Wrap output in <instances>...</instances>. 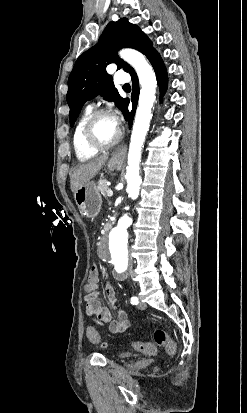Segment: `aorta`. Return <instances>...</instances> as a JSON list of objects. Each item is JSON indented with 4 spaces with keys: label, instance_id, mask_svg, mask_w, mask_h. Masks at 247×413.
<instances>
[{
    "label": "aorta",
    "instance_id": "obj_1",
    "mask_svg": "<svg viewBox=\"0 0 247 413\" xmlns=\"http://www.w3.org/2000/svg\"><path fill=\"white\" fill-rule=\"evenodd\" d=\"M122 59L128 62L136 71L141 86L138 107L133 124V131L128 153V167L126 171L127 193L133 200L137 199L140 191L141 177L139 165L141 152L146 134L152 118L151 108L155 101L156 76L146 58L133 49H123L119 52ZM132 223L127 215L120 218L118 226L112 231L115 244L112 259L118 272H123L128 266L127 232L126 228Z\"/></svg>",
    "mask_w": 247,
    "mask_h": 413
}]
</instances>
